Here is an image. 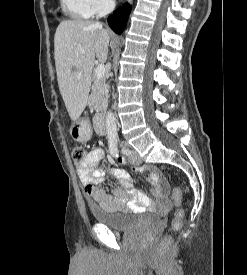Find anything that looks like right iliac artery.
I'll return each instance as SVG.
<instances>
[{"mask_svg":"<svg viewBox=\"0 0 247 275\" xmlns=\"http://www.w3.org/2000/svg\"><path fill=\"white\" fill-rule=\"evenodd\" d=\"M109 151L113 157H118V149H117V143L111 141L109 143Z\"/></svg>","mask_w":247,"mask_h":275,"instance_id":"1","label":"right iliac artery"}]
</instances>
